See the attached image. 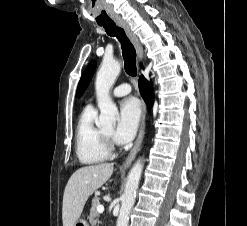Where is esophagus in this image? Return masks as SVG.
<instances>
[{
	"label": "esophagus",
	"mask_w": 247,
	"mask_h": 226,
	"mask_svg": "<svg viewBox=\"0 0 247 226\" xmlns=\"http://www.w3.org/2000/svg\"><path fill=\"white\" fill-rule=\"evenodd\" d=\"M115 22L118 26H120L121 28H123L125 30V32L129 36L130 40L132 41V43L136 49L138 59L142 60L143 47H142L141 43L139 42L138 37L131 30L129 24L126 21H124L123 19H116ZM146 114H147V106L144 103V101H142V119H141V125H140V129H139L138 137L135 141V144H134L132 150L130 151L129 155L127 156L126 160L123 163V169H126L127 167H129L131 165L136 154L140 150V147H141L144 135H145Z\"/></svg>",
	"instance_id": "obj_1"
}]
</instances>
